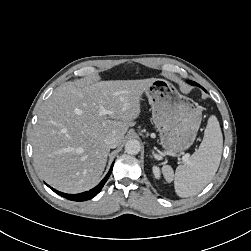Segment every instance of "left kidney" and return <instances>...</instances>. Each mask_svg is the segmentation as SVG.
Segmentation results:
<instances>
[{
	"instance_id": "1",
	"label": "left kidney",
	"mask_w": 251,
	"mask_h": 251,
	"mask_svg": "<svg viewBox=\"0 0 251 251\" xmlns=\"http://www.w3.org/2000/svg\"><path fill=\"white\" fill-rule=\"evenodd\" d=\"M153 174L156 179L160 178V169L158 166H153Z\"/></svg>"
}]
</instances>
